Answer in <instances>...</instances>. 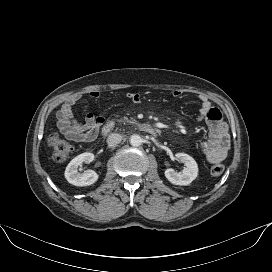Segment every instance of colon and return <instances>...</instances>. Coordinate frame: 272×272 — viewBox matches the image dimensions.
Listing matches in <instances>:
<instances>
[{"label": "colon", "instance_id": "colon-1", "mask_svg": "<svg viewBox=\"0 0 272 272\" xmlns=\"http://www.w3.org/2000/svg\"><path fill=\"white\" fill-rule=\"evenodd\" d=\"M47 143L52 153V159L56 163L65 162L73 151L72 145L57 133L51 134ZM224 169L222 164H215L211 167L210 172L213 176H219L224 172Z\"/></svg>", "mask_w": 272, "mask_h": 272}]
</instances>
